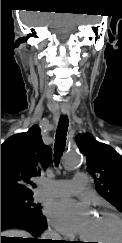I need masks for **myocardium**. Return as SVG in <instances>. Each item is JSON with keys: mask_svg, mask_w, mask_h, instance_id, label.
Masks as SVG:
<instances>
[{"mask_svg": "<svg viewBox=\"0 0 122 243\" xmlns=\"http://www.w3.org/2000/svg\"><path fill=\"white\" fill-rule=\"evenodd\" d=\"M98 214L111 217L117 222L119 226V239L117 240V243H122V217L110 210H100L98 211Z\"/></svg>", "mask_w": 122, "mask_h": 243, "instance_id": "obj_1", "label": "myocardium"}]
</instances>
